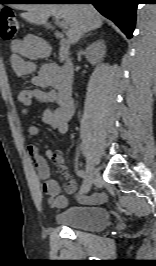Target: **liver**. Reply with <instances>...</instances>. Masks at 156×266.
I'll use <instances>...</instances> for the list:
<instances>
[{
    "instance_id": "obj_1",
    "label": "liver",
    "mask_w": 156,
    "mask_h": 266,
    "mask_svg": "<svg viewBox=\"0 0 156 266\" xmlns=\"http://www.w3.org/2000/svg\"><path fill=\"white\" fill-rule=\"evenodd\" d=\"M17 8L25 11L23 19L36 25L44 24L50 16L62 18L68 24L66 35L71 43L103 24L100 13L88 4H17Z\"/></svg>"
}]
</instances>
